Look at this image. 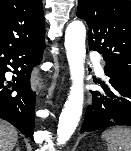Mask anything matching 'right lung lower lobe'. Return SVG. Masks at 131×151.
<instances>
[{
  "mask_svg": "<svg viewBox=\"0 0 131 151\" xmlns=\"http://www.w3.org/2000/svg\"><path fill=\"white\" fill-rule=\"evenodd\" d=\"M44 48V42L17 48L0 47V118L32 140L36 94L31 90L30 77L33 67L41 61ZM10 68L17 75L16 82L5 86L4 75Z\"/></svg>",
  "mask_w": 131,
  "mask_h": 151,
  "instance_id": "obj_1",
  "label": "right lung lower lobe"
}]
</instances>
